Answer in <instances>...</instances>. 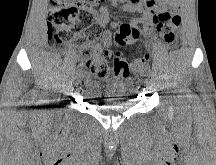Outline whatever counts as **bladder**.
I'll use <instances>...</instances> for the list:
<instances>
[{
    "mask_svg": "<svg viewBox=\"0 0 216 165\" xmlns=\"http://www.w3.org/2000/svg\"><path fill=\"white\" fill-rule=\"evenodd\" d=\"M96 80L90 75H85L83 85L84 94L88 100H96L93 102L96 111H121L134 104V100L126 96V91L130 86L127 78L97 76Z\"/></svg>",
    "mask_w": 216,
    "mask_h": 165,
    "instance_id": "obj_1",
    "label": "bladder"
}]
</instances>
